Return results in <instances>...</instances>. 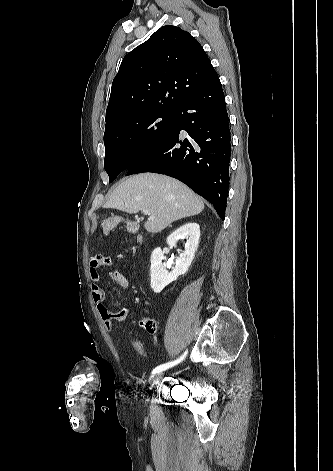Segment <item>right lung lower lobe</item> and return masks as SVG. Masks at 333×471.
<instances>
[{
  "mask_svg": "<svg viewBox=\"0 0 333 471\" xmlns=\"http://www.w3.org/2000/svg\"><path fill=\"white\" fill-rule=\"evenodd\" d=\"M182 130L189 139L183 138ZM231 138L219 78L184 102L173 125L128 169L174 177L213 204L224 220L229 187Z\"/></svg>",
  "mask_w": 333,
  "mask_h": 471,
  "instance_id": "1",
  "label": "right lung lower lobe"
}]
</instances>
